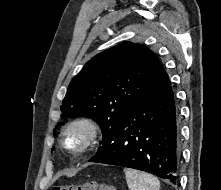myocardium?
Segmentation results:
<instances>
[{
    "label": "myocardium",
    "mask_w": 221,
    "mask_h": 190,
    "mask_svg": "<svg viewBox=\"0 0 221 190\" xmlns=\"http://www.w3.org/2000/svg\"><path fill=\"white\" fill-rule=\"evenodd\" d=\"M73 130L82 132V141L72 146L67 142L68 134ZM99 132L98 124L88 116H78L71 119L63 128L60 136L61 145L73 153H83L87 151L95 142Z\"/></svg>",
    "instance_id": "obj_1"
}]
</instances>
